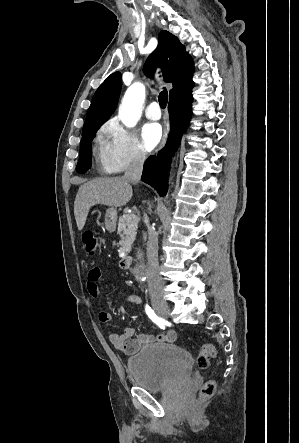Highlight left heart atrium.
I'll return each instance as SVG.
<instances>
[{
  "mask_svg": "<svg viewBox=\"0 0 299 443\" xmlns=\"http://www.w3.org/2000/svg\"><path fill=\"white\" fill-rule=\"evenodd\" d=\"M162 138V128L158 123H148L142 129V146L145 151L153 150Z\"/></svg>",
  "mask_w": 299,
  "mask_h": 443,
  "instance_id": "1",
  "label": "left heart atrium"
}]
</instances>
